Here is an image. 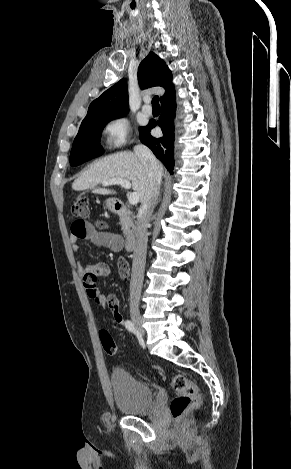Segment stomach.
I'll use <instances>...</instances> for the list:
<instances>
[{
    "label": "stomach",
    "instance_id": "1",
    "mask_svg": "<svg viewBox=\"0 0 291 469\" xmlns=\"http://www.w3.org/2000/svg\"><path fill=\"white\" fill-rule=\"evenodd\" d=\"M105 204H106V207L109 210H114V208H115V199L110 198V199L106 200Z\"/></svg>",
    "mask_w": 291,
    "mask_h": 469
}]
</instances>
